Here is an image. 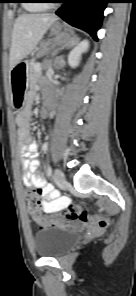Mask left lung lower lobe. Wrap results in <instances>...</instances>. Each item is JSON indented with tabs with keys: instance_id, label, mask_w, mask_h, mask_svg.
I'll list each match as a JSON object with an SVG mask.
<instances>
[{
	"instance_id": "1",
	"label": "left lung lower lobe",
	"mask_w": 136,
	"mask_h": 296,
	"mask_svg": "<svg viewBox=\"0 0 136 296\" xmlns=\"http://www.w3.org/2000/svg\"><path fill=\"white\" fill-rule=\"evenodd\" d=\"M56 14L67 23L88 32L94 40L109 0H64Z\"/></svg>"
}]
</instances>
